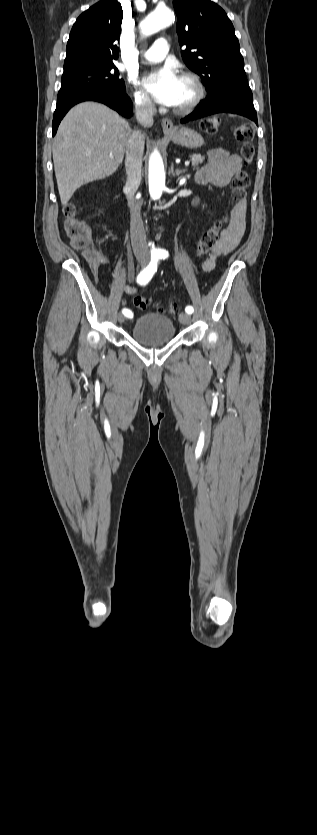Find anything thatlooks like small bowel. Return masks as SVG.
I'll return each instance as SVG.
<instances>
[{
  "mask_svg": "<svg viewBox=\"0 0 317 835\" xmlns=\"http://www.w3.org/2000/svg\"><path fill=\"white\" fill-rule=\"evenodd\" d=\"M242 166L241 158L238 155L230 153L224 148H215L208 152L207 161L195 172L194 180L198 184H213L218 187H225L241 171ZM245 229L246 210L244 206H241L235 210L231 223L222 233L221 240L202 261V269L207 272L213 270L219 257L231 253L238 246ZM110 264L108 254L103 251H96L94 257L89 259V266L93 273H97L100 266ZM124 290L128 295L137 292V288L130 285H125Z\"/></svg>",
  "mask_w": 317,
  "mask_h": 835,
  "instance_id": "small-bowel-1",
  "label": "small bowel"
}]
</instances>
